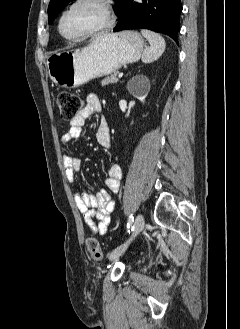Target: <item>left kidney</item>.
I'll list each match as a JSON object with an SVG mask.
<instances>
[{
    "label": "left kidney",
    "instance_id": "obj_1",
    "mask_svg": "<svg viewBox=\"0 0 240 329\" xmlns=\"http://www.w3.org/2000/svg\"><path fill=\"white\" fill-rule=\"evenodd\" d=\"M135 84L141 86V88L139 90L134 88ZM127 89L134 97H136L141 102H144L150 89L149 79L146 76L137 75L129 81Z\"/></svg>",
    "mask_w": 240,
    "mask_h": 329
}]
</instances>
